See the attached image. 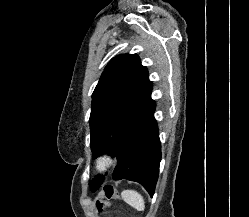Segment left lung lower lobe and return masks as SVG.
Returning a JSON list of instances; mask_svg holds the SVG:
<instances>
[{
  "label": "left lung lower lobe",
  "instance_id": "1",
  "mask_svg": "<svg viewBox=\"0 0 249 217\" xmlns=\"http://www.w3.org/2000/svg\"><path fill=\"white\" fill-rule=\"evenodd\" d=\"M155 101L151 92L129 113L119 129L118 165L115 180L127 179L140 183L152 197L159 173L161 145L154 118ZM100 186L103 176L94 180Z\"/></svg>",
  "mask_w": 249,
  "mask_h": 217
}]
</instances>
